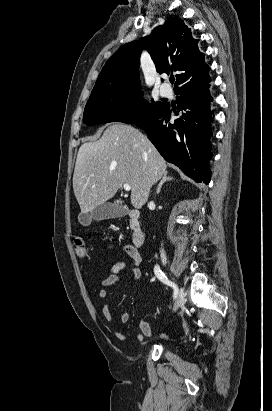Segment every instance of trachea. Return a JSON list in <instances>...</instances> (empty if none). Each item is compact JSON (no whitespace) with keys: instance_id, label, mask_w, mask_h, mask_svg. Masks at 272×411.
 <instances>
[{"instance_id":"1","label":"trachea","mask_w":272,"mask_h":411,"mask_svg":"<svg viewBox=\"0 0 272 411\" xmlns=\"http://www.w3.org/2000/svg\"><path fill=\"white\" fill-rule=\"evenodd\" d=\"M175 79L173 77L170 78V82L173 84Z\"/></svg>"}]
</instances>
